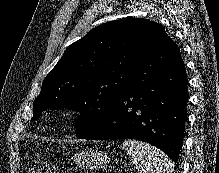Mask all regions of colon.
<instances>
[{"label": "colon", "instance_id": "1", "mask_svg": "<svg viewBox=\"0 0 219 173\" xmlns=\"http://www.w3.org/2000/svg\"><path fill=\"white\" fill-rule=\"evenodd\" d=\"M30 173H50L48 162L43 159L33 161Z\"/></svg>", "mask_w": 219, "mask_h": 173}]
</instances>
